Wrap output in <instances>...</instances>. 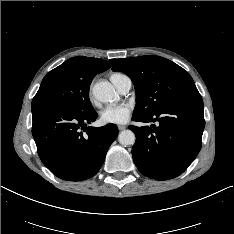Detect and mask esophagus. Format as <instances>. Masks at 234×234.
Instances as JSON below:
<instances>
[{
	"instance_id": "obj_1",
	"label": "esophagus",
	"mask_w": 234,
	"mask_h": 234,
	"mask_svg": "<svg viewBox=\"0 0 234 234\" xmlns=\"http://www.w3.org/2000/svg\"><path fill=\"white\" fill-rule=\"evenodd\" d=\"M118 129L119 130H124V129H126V126H124V125H118Z\"/></svg>"
}]
</instances>
